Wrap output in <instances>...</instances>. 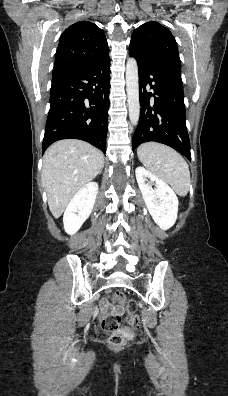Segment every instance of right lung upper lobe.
I'll return each instance as SVG.
<instances>
[{
    "instance_id": "right-lung-upper-lobe-1",
    "label": "right lung upper lobe",
    "mask_w": 228,
    "mask_h": 396,
    "mask_svg": "<svg viewBox=\"0 0 228 396\" xmlns=\"http://www.w3.org/2000/svg\"><path fill=\"white\" fill-rule=\"evenodd\" d=\"M109 54L102 29L89 21L68 27L60 37L53 74L93 64Z\"/></svg>"
}]
</instances>
